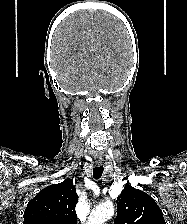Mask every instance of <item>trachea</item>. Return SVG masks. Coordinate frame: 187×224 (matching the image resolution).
<instances>
[{
  "label": "trachea",
  "instance_id": "obj_1",
  "mask_svg": "<svg viewBox=\"0 0 187 224\" xmlns=\"http://www.w3.org/2000/svg\"><path fill=\"white\" fill-rule=\"evenodd\" d=\"M103 170H104V168H103L102 165L93 168V177H94L96 180L100 179L101 176H102V174H103Z\"/></svg>",
  "mask_w": 187,
  "mask_h": 224
}]
</instances>
